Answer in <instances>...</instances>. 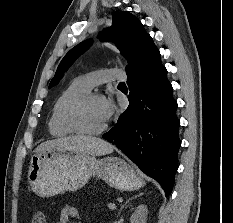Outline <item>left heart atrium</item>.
Returning a JSON list of instances; mask_svg holds the SVG:
<instances>
[{
    "label": "left heart atrium",
    "mask_w": 233,
    "mask_h": 223,
    "mask_svg": "<svg viewBox=\"0 0 233 223\" xmlns=\"http://www.w3.org/2000/svg\"><path fill=\"white\" fill-rule=\"evenodd\" d=\"M100 114L105 123L109 122L115 114V105L111 98L101 97L99 98Z\"/></svg>",
    "instance_id": "left-heart-atrium-1"
}]
</instances>
